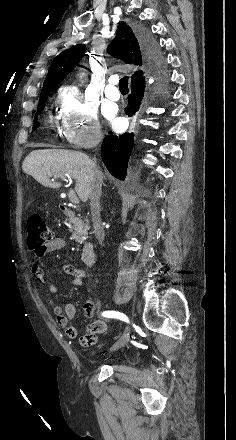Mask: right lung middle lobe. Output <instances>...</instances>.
<instances>
[{"label":"right lung middle lobe","instance_id":"obj_1","mask_svg":"<svg viewBox=\"0 0 236 440\" xmlns=\"http://www.w3.org/2000/svg\"><path fill=\"white\" fill-rule=\"evenodd\" d=\"M47 95L48 94H46L44 97L39 99V105H38V110H37L38 114H40L44 108V101L47 99ZM38 126H39V122L37 121V118H36V120L34 121L33 129L38 128Z\"/></svg>","mask_w":236,"mask_h":440}]
</instances>
